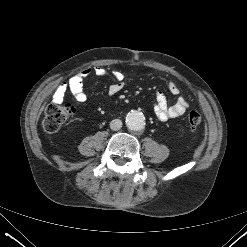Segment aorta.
<instances>
[{"label": "aorta", "mask_w": 247, "mask_h": 247, "mask_svg": "<svg viewBox=\"0 0 247 247\" xmlns=\"http://www.w3.org/2000/svg\"><path fill=\"white\" fill-rule=\"evenodd\" d=\"M126 124L131 130H140L145 125L144 115L137 110H132L126 116Z\"/></svg>", "instance_id": "762f6f07"}]
</instances>
